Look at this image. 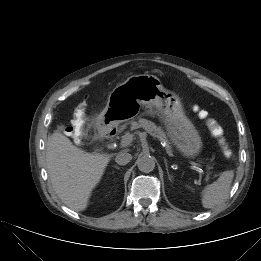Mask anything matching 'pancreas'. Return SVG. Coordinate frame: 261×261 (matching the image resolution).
Here are the masks:
<instances>
[{"label": "pancreas", "instance_id": "1", "mask_svg": "<svg viewBox=\"0 0 261 261\" xmlns=\"http://www.w3.org/2000/svg\"><path fill=\"white\" fill-rule=\"evenodd\" d=\"M138 128H143L151 136L157 138L158 140H160L162 142L168 143V139H167V136L164 133V131L161 129V127L156 126V124L153 123L152 121H149V120L144 119V118H140L138 121L131 122V129L132 130H135V129H138ZM166 149L167 150L171 149L169 144H167Z\"/></svg>", "mask_w": 261, "mask_h": 261}]
</instances>
